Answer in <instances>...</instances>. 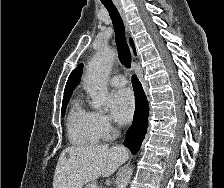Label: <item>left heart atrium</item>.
<instances>
[{
  "mask_svg": "<svg viewBox=\"0 0 224 188\" xmlns=\"http://www.w3.org/2000/svg\"><path fill=\"white\" fill-rule=\"evenodd\" d=\"M110 110L120 124H128L134 113V99L128 89H119L111 93Z\"/></svg>",
  "mask_w": 224,
  "mask_h": 188,
  "instance_id": "left-heart-atrium-1",
  "label": "left heart atrium"
}]
</instances>
